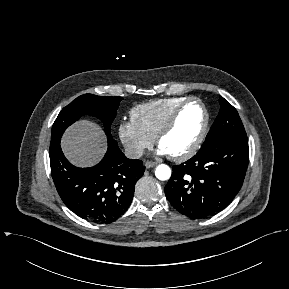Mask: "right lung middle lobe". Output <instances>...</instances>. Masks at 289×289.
Instances as JSON below:
<instances>
[{
    "label": "right lung middle lobe",
    "mask_w": 289,
    "mask_h": 289,
    "mask_svg": "<svg viewBox=\"0 0 289 289\" xmlns=\"http://www.w3.org/2000/svg\"><path fill=\"white\" fill-rule=\"evenodd\" d=\"M122 99V97H104L92 94H84L76 98L62 109L52 126L50 152L60 144L65 129L84 114L100 119L104 123L107 136H111V123Z\"/></svg>",
    "instance_id": "dd1d6c3e"
}]
</instances>
